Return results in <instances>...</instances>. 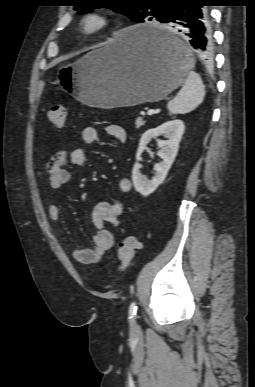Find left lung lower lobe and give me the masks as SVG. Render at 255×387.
I'll list each match as a JSON object with an SVG mask.
<instances>
[{"label":"left lung lower lobe","instance_id":"0a47b994","mask_svg":"<svg viewBox=\"0 0 255 387\" xmlns=\"http://www.w3.org/2000/svg\"><path fill=\"white\" fill-rule=\"evenodd\" d=\"M210 0H181L168 4L161 23H176L181 26L179 32L185 35L196 53L204 60L213 56V39L209 25V13L205 6H211ZM149 43L159 47L170 55L179 54L178 45L167 31L155 30L143 33Z\"/></svg>","mask_w":255,"mask_h":387}]
</instances>
